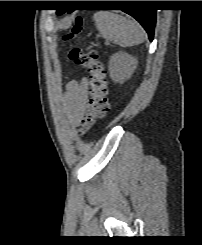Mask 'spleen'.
<instances>
[{"label": "spleen", "instance_id": "3e777b00", "mask_svg": "<svg viewBox=\"0 0 202 245\" xmlns=\"http://www.w3.org/2000/svg\"><path fill=\"white\" fill-rule=\"evenodd\" d=\"M94 21L104 39L121 47H131L145 40L142 27L136 21L121 15L100 11L94 14Z\"/></svg>", "mask_w": 202, "mask_h": 245}]
</instances>
